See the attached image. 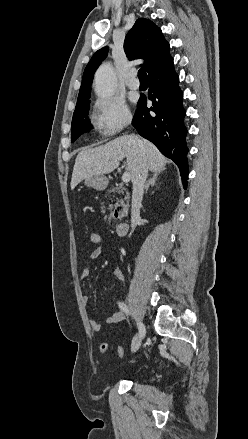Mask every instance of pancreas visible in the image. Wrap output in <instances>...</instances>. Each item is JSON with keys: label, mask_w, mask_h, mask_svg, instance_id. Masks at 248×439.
Returning <instances> with one entry per match:
<instances>
[{"label": "pancreas", "mask_w": 248, "mask_h": 439, "mask_svg": "<svg viewBox=\"0 0 248 439\" xmlns=\"http://www.w3.org/2000/svg\"><path fill=\"white\" fill-rule=\"evenodd\" d=\"M116 191H120L121 193H123L124 191V187L123 184H117L116 187L113 188ZM118 202L122 205V206H127L128 202H129V194L127 193V195L124 197V199H119ZM126 202V204H125Z\"/></svg>", "instance_id": "pancreas-1"}]
</instances>
